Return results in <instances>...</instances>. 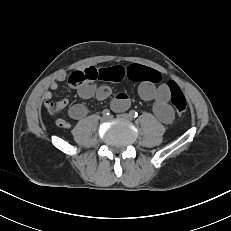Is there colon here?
<instances>
[{"label":"colon","instance_id":"1","mask_svg":"<svg viewBox=\"0 0 231 231\" xmlns=\"http://www.w3.org/2000/svg\"><path fill=\"white\" fill-rule=\"evenodd\" d=\"M139 74L141 79L148 80L154 84L159 83L162 80L161 74L151 68L141 67ZM84 79V76L77 71L73 72L69 76L68 83L73 87H78L84 82ZM165 85L169 88L171 103L174 106L177 114L180 116L183 115L187 109V101L183 92L181 91L179 86L173 81H168L165 83ZM58 109L59 108L54 106L52 107L51 111L54 112Z\"/></svg>","mask_w":231,"mask_h":231}]
</instances>
